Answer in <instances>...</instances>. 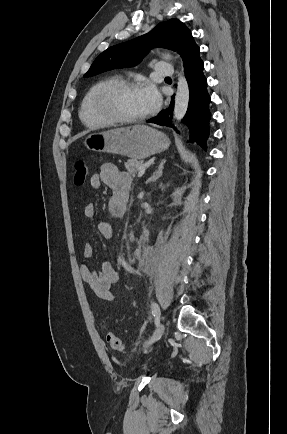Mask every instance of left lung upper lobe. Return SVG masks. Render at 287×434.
Here are the masks:
<instances>
[{
  "label": "left lung upper lobe",
  "instance_id": "1",
  "mask_svg": "<svg viewBox=\"0 0 287 434\" xmlns=\"http://www.w3.org/2000/svg\"><path fill=\"white\" fill-rule=\"evenodd\" d=\"M153 47H163L178 52L183 63L200 53L190 30L180 20L173 18L159 23L147 34L108 48L95 59L84 77H91L115 68L135 66Z\"/></svg>",
  "mask_w": 287,
  "mask_h": 434
}]
</instances>
